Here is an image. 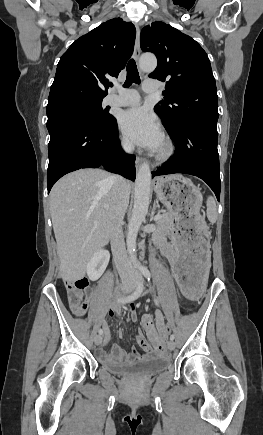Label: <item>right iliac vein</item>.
<instances>
[{"instance_id": "obj_1", "label": "right iliac vein", "mask_w": 263, "mask_h": 435, "mask_svg": "<svg viewBox=\"0 0 263 435\" xmlns=\"http://www.w3.org/2000/svg\"><path fill=\"white\" fill-rule=\"evenodd\" d=\"M130 291H131V288L124 289L125 293H129ZM94 342L96 345H100L102 343V336L100 334L96 335L94 338Z\"/></svg>"}]
</instances>
